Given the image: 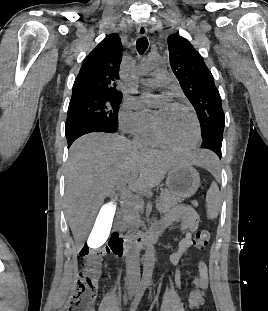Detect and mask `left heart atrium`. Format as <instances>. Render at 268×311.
Returning <instances> with one entry per match:
<instances>
[{"label": "left heart atrium", "instance_id": "left-heart-atrium-1", "mask_svg": "<svg viewBox=\"0 0 268 311\" xmlns=\"http://www.w3.org/2000/svg\"><path fill=\"white\" fill-rule=\"evenodd\" d=\"M164 105H165V106H170L171 103H170L169 101H166Z\"/></svg>", "mask_w": 268, "mask_h": 311}]
</instances>
